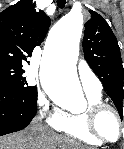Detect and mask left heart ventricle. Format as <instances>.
<instances>
[{"instance_id":"b2bd125f","label":"left heart ventricle","mask_w":124,"mask_h":149,"mask_svg":"<svg viewBox=\"0 0 124 149\" xmlns=\"http://www.w3.org/2000/svg\"><path fill=\"white\" fill-rule=\"evenodd\" d=\"M99 131L108 139L115 140L119 134L118 122L111 111H105L98 120Z\"/></svg>"}]
</instances>
